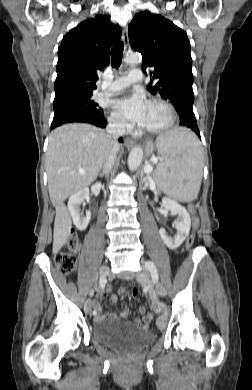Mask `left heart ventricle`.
<instances>
[{
	"instance_id": "obj_1",
	"label": "left heart ventricle",
	"mask_w": 252,
	"mask_h": 390,
	"mask_svg": "<svg viewBox=\"0 0 252 390\" xmlns=\"http://www.w3.org/2000/svg\"><path fill=\"white\" fill-rule=\"evenodd\" d=\"M169 119V114L165 107L160 104H148L142 128L154 129L163 126Z\"/></svg>"
}]
</instances>
